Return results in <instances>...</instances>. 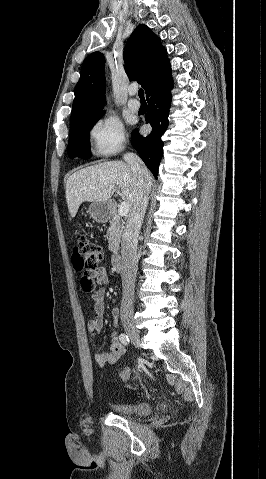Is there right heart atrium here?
Listing matches in <instances>:
<instances>
[{"label":"right heart atrium","mask_w":266,"mask_h":479,"mask_svg":"<svg viewBox=\"0 0 266 479\" xmlns=\"http://www.w3.org/2000/svg\"><path fill=\"white\" fill-rule=\"evenodd\" d=\"M89 139L96 154L114 155L124 146V129L115 118L102 117L91 127Z\"/></svg>","instance_id":"1"}]
</instances>
